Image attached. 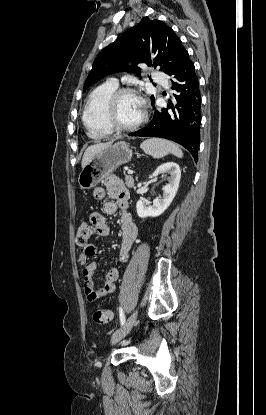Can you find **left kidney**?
Masks as SVG:
<instances>
[{"label": "left kidney", "mask_w": 266, "mask_h": 415, "mask_svg": "<svg viewBox=\"0 0 266 415\" xmlns=\"http://www.w3.org/2000/svg\"><path fill=\"white\" fill-rule=\"evenodd\" d=\"M159 174L169 175L168 183L163 188V197L155 199L151 206L139 200L136 204V210L140 218L160 216L170 206L177 193L181 178L179 165L174 162L164 163L154 171L153 177L157 179Z\"/></svg>", "instance_id": "5707ae66"}]
</instances>
